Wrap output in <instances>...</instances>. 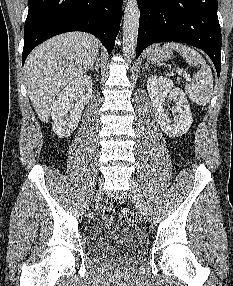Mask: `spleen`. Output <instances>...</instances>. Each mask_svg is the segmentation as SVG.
Masks as SVG:
<instances>
[{
  "label": "spleen",
  "instance_id": "1",
  "mask_svg": "<svg viewBox=\"0 0 233 286\" xmlns=\"http://www.w3.org/2000/svg\"><path fill=\"white\" fill-rule=\"evenodd\" d=\"M164 47L175 49L189 65L195 67L201 65L200 70L193 75L192 81L186 84L185 92L197 105H207L213 93V75L210 66L196 50L187 45L171 42L164 44Z\"/></svg>",
  "mask_w": 233,
  "mask_h": 286
}]
</instances>
